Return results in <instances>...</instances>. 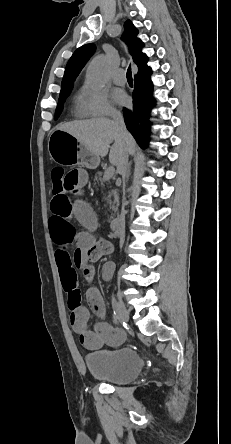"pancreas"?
Wrapping results in <instances>:
<instances>
[{
    "mask_svg": "<svg viewBox=\"0 0 231 444\" xmlns=\"http://www.w3.org/2000/svg\"><path fill=\"white\" fill-rule=\"evenodd\" d=\"M101 176H102V172H98L95 178H96L97 181L104 182V180H103V178ZM112 195L114 196V204H116L118 202V195H117L116 190H114L112 192ZM109 197H110V195H109Z\"/></svg>",
    "mask_w": 231,
    "mask_h": 444,
    "instance_id": "1",
    "label": "pancreas"
}]
</instances>
